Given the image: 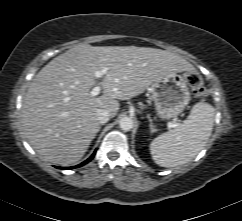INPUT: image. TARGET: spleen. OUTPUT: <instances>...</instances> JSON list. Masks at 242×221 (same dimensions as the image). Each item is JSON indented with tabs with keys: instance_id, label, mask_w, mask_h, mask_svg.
I'll use <instances>...</instances> for the list:
<instances>
[{
	"instance_id": "obj_1",
	"label": "spleen",
	"mask_w": 242,
	"mask_h": 221,
	"mask_svg": "<svg viewBox=\"0 0 242 221\" xmlns=\"http://www.w3.org/2000/svg\"><path fill=\"white\" fill-rule=\"evenodd\" d=\"M214 111L208 103L195 104L185 123L159 135L150 143L154 162L162 167H175L194 158L211 136Z\"/></svg>"
}]
</instances>
